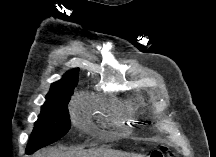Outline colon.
<instances>
[{
  "instance_id": "colon-1",
  "label": "colon",
  "mask_w": 216,
  "mask_h": 157,
  "mask_svg": "<svg viewBox=\"0 0 216 157\" xmlns=\"http://www.w3.org/2000/svg\"><path fill=\"white\" fill-rule=\"evenodd\" d=\"M166 150L167 149L165 147H161L159 149H156L151 153L150 157H164Z\"/></svg>"
}]
</instances>
